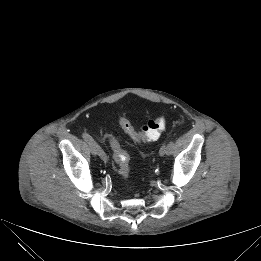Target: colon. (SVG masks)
Here are the masks:
<instances>
[{
    "label": "colon",
    "mask_w": 261,
    "mask_h": 261,
    "mask_svg": "<svg viewBox=\"0 0 261 261\" xmlns=\"http://www.w3.org/2000/svg\"><path fill=\"white\" fill-rule=\"evenodd\" d=\"M119 125L134 141L148 142L156 140L160 136L166 127V119L164 116H158L149 120L140 130H136L130 121L122 116L119 118ZM109 143L116 171L123 179H127L130 174L129 156L117 139L110 138Z\"/></svg>",
    "instance_id": "obj_1"
}]
</instances>
